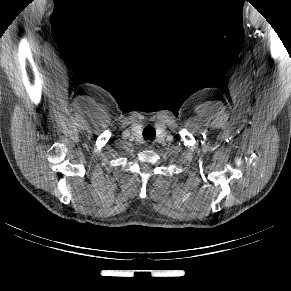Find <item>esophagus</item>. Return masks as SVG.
Segmentation results:
<instances>
[{"label":"esophagus","instance_id":"34e87169","mask_svg":"<svg viewBox=\"0 0 291 291\" xmlns=\"http://www.w3.org/2000/svg\"><path fill=\"white\" fill-rule=\"evenodd\" d=\"M146 147H147L148 149H151V148L153 147V144H152V143H147V144H146Z\"/></svg>","mask_w":291,"mask_h":291}]
</instances>
